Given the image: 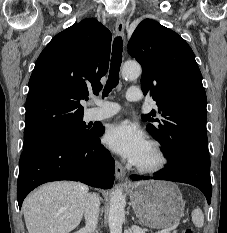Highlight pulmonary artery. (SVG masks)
Segmentation results:
<instances>
[{
    "mask_svg": "<svg viewBox=\"0 0 227 233\" xmlns=\"http://www.w3.org/2000/svg\"><path fill=\"white\" fill-rule=\"evenodd\" d=\"M126 98L128 101H139L141 99L140 93L136 88H130L127 91ZM98 107L93 109L90 113L91 120H103L113 117L120 111V106L117 103L97 100Z\"/></svg>",
    "mask_w": 227,
    "mask_h": 233,
    "instance_id": "e3ab8cb5",
    "label": "pulmonary artery"
}]
</instances>
